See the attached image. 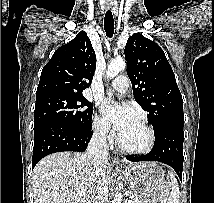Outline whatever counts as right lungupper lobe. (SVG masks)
I'll return each mask as SVG.
<instances>
[{
    "label": "right lung upper lobe",
    "mask_w": 214,
    "mask_h": 203,
    "mask_svg": "<svg viewBox=\"0 0 214 203\" xmlns=\"http://www.w3.org/2000/svg\"><path fill=\"white\" fill-rule=\"evenodd\" d=\"M96 56L86 32L59 47L42 69L36 98L50 94H79L89 87Z\"/></svg>",
    "instance_id": "right-lung-upper-lobe-1"
}]
</instances>
